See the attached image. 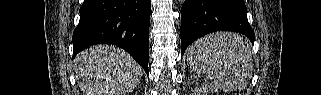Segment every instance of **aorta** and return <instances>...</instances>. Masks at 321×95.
I'll return each mask as SVG.
<instances>
[{
	"label": "aorta",
	"instance_id": "762f6f07",
	"mask_svg": "<svg viewBox=\"0 0 321 95\" xmlns=\"http://www.w3.org/2000/svg\"><path fill=\"white\" fill-rule=\"evenodd\" d=\"M179 2H180V3H183V2H184V0H179Z\"/></svg>",
	"mask_w": 321,
	"mask_h": 95
}]
</instances>
